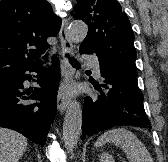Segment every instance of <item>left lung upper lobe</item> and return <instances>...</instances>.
Returning <instances> with one entry per match:
<instances>
[{
	"instance_id": "left-lung-upper-lobe-1",
	"label": "left lung upper lobe",
	"mask_w": 168,
	"mask_h": 162,
	"mask_svg": "<svg viewBox=\"0 0 168 162\" xmlns=\"http://www.w3.org/2000/svg\"><path fill=\"white\" fill-rule=\"evenodd\" d=\"M72 15L89 27L80 50L91 51L98 59L137 75L134 34L116 0H77Z\"/></svg>"
}]
</instances>
